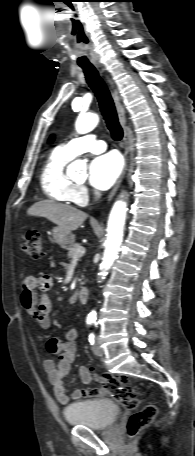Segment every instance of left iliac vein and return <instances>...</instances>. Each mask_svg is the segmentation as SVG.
Wrapping results in <instances>:
<instances>
[{
    "label": "left iliac vein",
    "instance_id": "obj_1",
    "mask_svg": "<svg viewBox=\"0 0 195 456\" xmlns=\"http://www.w3.org/2000/svg\"><path fill=\"white\" fill-rule=\"evenodd\" d=\"M92 350H93V353L97 356H103L104 355V351L103 349L100 347L99 343L96 342L94 343V345L92 346Z\"/></svg>",
    "mask_w": 195,
    "mask_h": 456
}]
</instances>
